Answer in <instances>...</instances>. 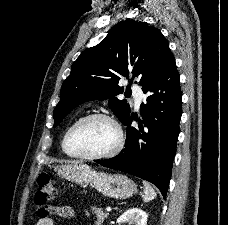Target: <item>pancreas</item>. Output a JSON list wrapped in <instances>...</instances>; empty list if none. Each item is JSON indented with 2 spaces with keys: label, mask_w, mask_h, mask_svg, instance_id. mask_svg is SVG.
<instances>
[{
  "label": "pancreas",
  "mask_w": 228,
  "mask_h": 225,
  "mask_svg": "<svg viewBox=\"0 0 228 225\" xmlns=\"http://www.w3.org/2000/svg\"><path fill=\"white\" fill-rule=\"evenodd\" d=\"M91 209L97 217L96 225H102L103 221L108 217L107 213H104L103 209H96V207H91Z\"/></svg>",
  "instance_id": "1"
}]
</instances>
